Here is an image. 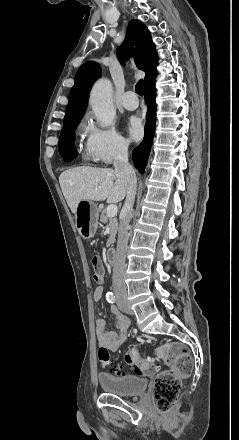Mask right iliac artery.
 <instances>
[{
	"instance_id": "82829eb1",
	"label": "right iliac artery",
	"mask_w": 239,
	"mask_h": 440,
	"mask_svg": "<svg viewBox=\"0 0 239 440\" xmlns=\"http://www.w3.org/2000/svg\"><path fill=\"white\" fill-rule=\"evenodd\" d=\"M106 300H107L109 303H114L115 300H116L115 295H114L112 292H108V293L106 294Z\"/></svg>"
}]
</instances>
